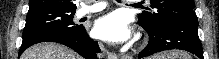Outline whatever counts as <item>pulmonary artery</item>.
<instances>
[{
	"instance_id": "obj_1",
	"label": "pulmonary artery",
	"mask_w": 219,
	"mask_h": 59,
	"mask_svg": "<svg viewBox=\"0 0 219 59\" xmlns=\"http://www.w3.org/2000/svg\"><path fill=\"white\" fill-rule=\"evenodd\" d=\"M105 6L106 5H104L102 2H100L98 4H93V5H88V6L82 7L80 9V15L85 16L88 14L99 12V11L103 10L105 8Z\"/></svg>"
}]
</instances>
